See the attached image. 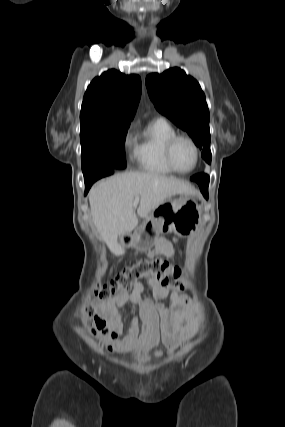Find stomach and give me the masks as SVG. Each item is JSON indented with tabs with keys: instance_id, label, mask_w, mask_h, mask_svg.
I'll list each match as a JSON object with an SVG mask.
<instances>
[{
	"instance_id": "obj_1",
	"label": "stomach",
	"mask_w": 285,
	"mask_h": 427,
	"mask_svg": "<svg viewBox=\"0 0 285 427\" xmlns=\"http://www.w3.org/2000/svg\"><path fill=\"white\" fill-rule=\"evenodd\" d=\"M203 206L197 195L180 194L153 210L131 236V245L145 250L152 247L161 234L174 232L180 236L193 233L202 217Z\"/></svg>"
}]
</instances>
